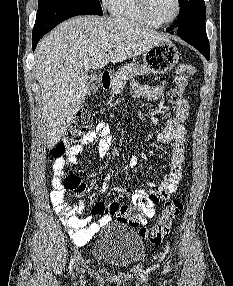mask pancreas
<instances>
[{"mask_svg": "<svg viewBox=\"0 0 233 286\" xmlns=\"http://www.w3.org/2000/svg\"><path fill=\"white\" fill-rule=\"evenodd\" d=\"M149 71L142 66L134 63H127L119 68L113 77L112 90L115 94L121 93L124 85L129 78H134L138 75H146Z\"/></svg>", "mask_w": 233, "mask_h": 286, "instance_id": "cf45deb5", "label": "pancreas"}]
</instances>
